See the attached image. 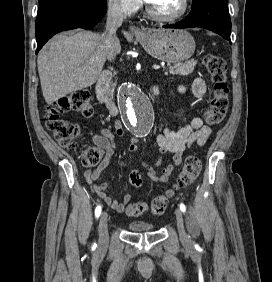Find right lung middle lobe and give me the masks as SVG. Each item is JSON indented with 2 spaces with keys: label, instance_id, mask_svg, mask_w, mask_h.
I'll return each instance as SVG.
<instances>
[{
  "label": "right lung middle lobe",
  "instance_id": "dd1d6c3e",
  "mask_svg": "<svg viewBox=\"0 0 272 282\" xmlns=\"http://www.w3.org/2000/svg\"><path fill=\"white\" fill-rule=\"evenodd\" d=\"M45 1H47V0H39V3L41 4V3L45 2ZM96 1L106 2V0H96Z\"/></svg>",
  "mask_w": 272,
  "mask_h": 282
}]
</instances>
